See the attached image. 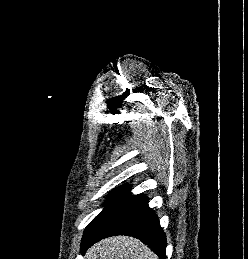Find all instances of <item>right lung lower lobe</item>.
Listing matches in <instances>:
<instances>
[{"mask_svg": "<svg viewBox=\"0 0 248 259\" xmlns=\"http://www.w3.org/2000/svg\"><path fill=\"white\" fill-rule=\"evenodd\" d=\"M126 235L140 239L155 252L160 259H166V238L160 228L154 211L148 207L144 195L127 192L107 212L96 228L82 238L81 253L101 239Z\"/></svg>", "mask_w": 248, "mask_h": 259, "instance_id": "98d812e1", "label": "right lung lower lobe"}]
</instances>
